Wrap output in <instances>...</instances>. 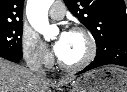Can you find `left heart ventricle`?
Returning <instances> with one entry per match:
<instances>
[{
  "label": "left heart ventricle",
  "instance_id": "obj_1",
  "mask_svg": "<svg viewBox=\"0 0 127 92\" xmlns=\"http://www.w3.org/2000/svg\"><path fill=\"white\" fill-rule=\"evenodd\" d=\"M88 51V43L81 33H69L68 41L63 54L59 57L67 64H75L81 61Z\"/></svg>",
  "mask_w": 127,
  "mask_h": 92
}]
</instances>
